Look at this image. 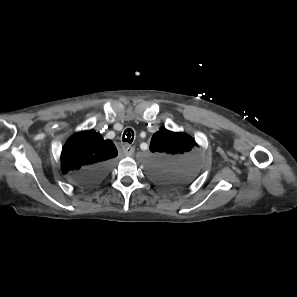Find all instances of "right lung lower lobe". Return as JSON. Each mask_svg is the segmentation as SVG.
<instances>
[{"instance_id":"1","label":"right lung lower lobe","mask_w":297,"mask_h":297,"mask_svg":"<svg viewBox=\"0 0 297 297\" xmlns=\"http://www.w3.org/2000/svg\"><path fill=\"white\" fill-rule=\"evenodd\" d=\"M110 163H100L87 167L71 175L74 184L81 187H89L99 183L109 172Z\"/></svg>"}]
</instances>
